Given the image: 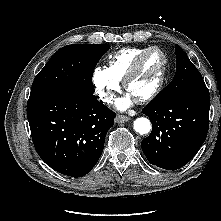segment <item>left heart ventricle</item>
I'll list each match as a JSON object with an SVG mask.
<instances>
[{"label": "left heart ventricle", "instance_id": "b2bd125f", "mask_svg": "<svg viewBox=\"0 0 221 221\" xmlns=\"http://www.w3.org/2000/svg\"><path fill=\"white\" fill-rule=\"evenodd\" d=\"M163 58L157 51L150 52L145 58L140 71L128 86V93L135 99L150 92L157 83Z\"/></svg>", "mask_w": 221, "mask_h": 221}]
</instances>
